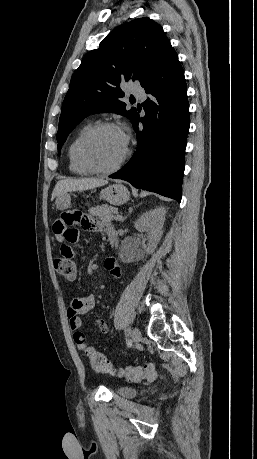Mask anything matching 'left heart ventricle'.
<instances>
[{
    "label": "left heart ventricle",
    "mask_w": 257,
    "mask_h": 459,
    "mask_svg": "<svg viewBox=\"0 0 257 459\" xmlns=\"http://www.w3.org/2000/svg\"><path fill=\"white\" fill-rule=\"evenodd\" d=\"M125 149L120 130L106 129L91 139L86 147V155L96 165L110 167L121 158Z\"/></svg>",
    "instance_id": "left-heart-ventricle-1"
}]
</instances>
